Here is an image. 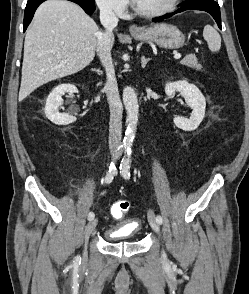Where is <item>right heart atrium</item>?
Listing matches in <instances>:
<instances>
[{"mask_svg":"<svg viewBox=\"0 0 249 294\" xmlns=\"http://www.w3.org/2000/svg\"><path fill=\"white\" fill-rule=\"evenodd\" d=\"M95 3L102 11L118 16L124 15L128 6L127 0H95Z\"/></svg>","mask_w":249,"mask_h":294,"instance_id":"1","label":"right heart atrium"}]
</instances>
